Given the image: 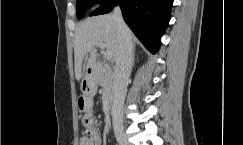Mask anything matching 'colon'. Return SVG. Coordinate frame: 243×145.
<instances>
[{
	"label": "colon",
	"mask_w": 243,
	"mask_h": 145,
	"mask_svg": "<svg viewBox=\"0 0 243 145\" xmlns=\"http://www.w3.org/2000/svg\"><path fill=\"white\" fill-rule=\"evenodd\" d=\"M91 132V121L88 117L84 119V133L85 135L90 134Z\"/></svg>",
	"instance_id": "obj_1"
}]
</instances>
